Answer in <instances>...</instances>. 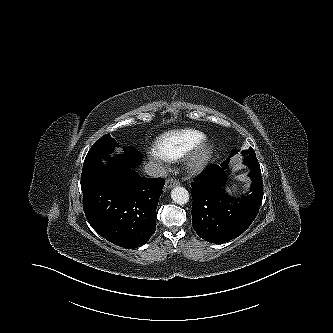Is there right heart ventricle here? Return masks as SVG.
<instances>
[{
  "mask_svg": "<svg viewBox=\"0 0 333 333\" xmlns=\"http://www.w3.org/2000/svg\"><path fill=\"white\" fill-rule=\"evenodd\" d=\"M205 140L197 130L171 131L160 136L155 144V153L167 161H177L193 151Z\"/></svg>",
  "mask_w": 333,
  "mask_h": 333,
  "instance_id": "e07e8e85",
  "label": "right heart ventricle"
}]
</instances>
